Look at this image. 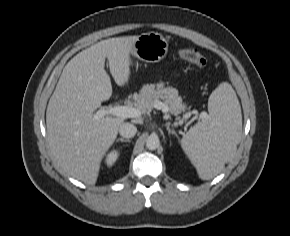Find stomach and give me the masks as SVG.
<instances>
[{
	"label": "stomach",
	"mask_w": 290,
	"mask_h": 236,
	"mask_svg": "<svg viewBox=\"0 0 290 236\" xmlns=\"http://www.w3.org/2000/svg\"><path fill=\"white\" fill-rule=\"evenodd\" d=\"M168 52V42L159 33L149 32L138 36L133 43L130 54L147 63L161 61Z\"/></svg>",
	"instance_id": "obj_1"
}]
</instances>
